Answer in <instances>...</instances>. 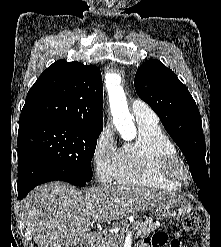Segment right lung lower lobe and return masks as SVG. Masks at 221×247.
Masks as SVG:
<instances>
[{
    "mask_svg": "<svg viewBox=\"0 0 221 247\" xmlns=\"http://www.w3.org/2000/svg\"><path fill=\"white\" fill-rule=\"evenodd\" d=\"M49 181H64L76 186L87 183L33 152L18 151V199L24 198L35 186Z\"/></svg>",
    "mask_w": 221,
    "mask_h": 247,
    "instance_id": "obj_1",
    "label": "right lung lower lobe"
}]
</instances>
